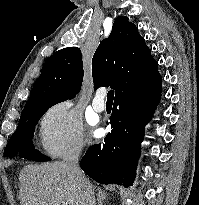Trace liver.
I'll return each mask as SVG.
<instances>
[{
  "label": "liver",
  "instance_id": "liver-1",
  "mask_svg": "<svg viewBox=\"0 0 199 205\" xmlns=\"http://www.w3.org/2000/svg\"><path fill=\"white\" fill-rule=\"evenodd\" d=\"M19 182L20 205H96L95 186L76 178L65 162L26 165Z\"/></svg>",
  "mask_w": 199,
  "mask_h": 205
}]
</instances>
